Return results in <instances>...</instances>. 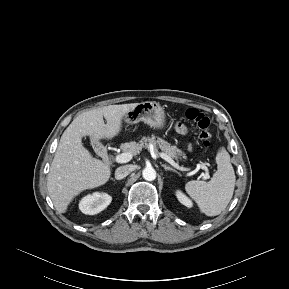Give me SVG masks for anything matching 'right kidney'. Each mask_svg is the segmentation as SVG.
Masks as SVG:
<instances>
[{
	"instance_id": "right-kidney-1",
	"label": "right kidney",
	"mask_w": 289,
	"mask_h": 289,
	"mask_svg": "<svg viewBox=\"0 0 289 289\" xmlns=\"http://www.w3.org/2000/svg\"><path fill=\"white\" fill-rule=\"evenodd\" d=\"M112 197L106 193L95 192L81 199L79 209L87 215H95L103 211L111 203Z\"/></svg>"
}]
</instances>
